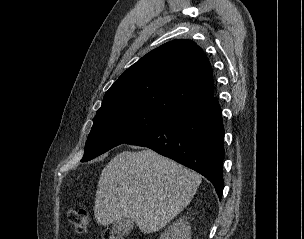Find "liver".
<instances>
[{
    "instance_id": "obj_1",
    "label": "liver",
    "mask_w": 304,
    "mask_h": 239,
    "mask_svg": "<svg viewBox=\"0 0 304 239\" xmlns=\"http://www.w3.org/2000/svg\"><path fill=\"white\" fill-rule=\"evenodd\" d=\"M201 180L151 149L120 152L101 172L94 216L103 226L130 218L143 233L156 232L190 203Z\"/></svg>"
}]
</instances>
